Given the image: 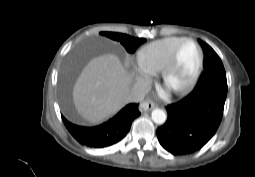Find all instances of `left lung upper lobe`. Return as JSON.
Listing matches in <instances>:
<instances>
[{
  "instance_id": "5c2ea615",
  "label": "left lung upper lobe",
  "mask_w": 255,
  "mask_h": 177,
  "mask_svg": "<svg viewBox=\"0 0 255 177\" xmlns=\"http://www.w3.org/2000/svg\"><path fill=\"white\" fill-rule=\"evenodd\" d=\"M205 56V71L196 87L216 86L227 89V80L224 66L215 51L202 40H198Z\"/></svg>"
}]
</instances>
